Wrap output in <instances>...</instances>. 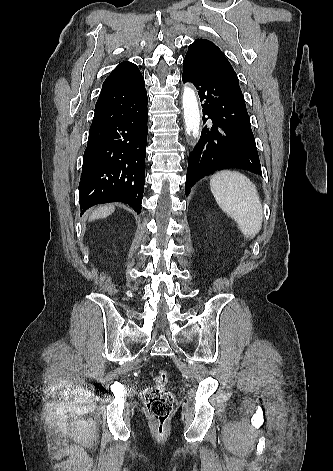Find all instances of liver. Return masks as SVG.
I'll use <instances>...</instances> for the list:
<instances>
[{"mask_svg":"<svg viewBox=\"0 0 333 471\" xmlns=\"http://www.w3.org/2000/svg\"><path fill=\"white\" fill-rule=\"evenodd\" d=\"M115 210V207L112 205L109 206H100L96 210L93 211L91 216L89 217V220H95L99 218H106L110 214H112Z\"/></svg>","mask_w":333,"mask_h":471,"instance_id":"1","label":"liver"}]
</instances>
